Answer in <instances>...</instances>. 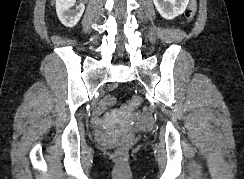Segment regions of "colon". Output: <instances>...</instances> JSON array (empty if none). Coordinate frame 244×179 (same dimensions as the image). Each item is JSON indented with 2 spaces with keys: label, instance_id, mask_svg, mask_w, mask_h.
<instances>
[{
  "label": "colon",
  "instance_id": "5ec220e1",
  "mask_svg": "<svg viewBox=\"0 0 244 179\" xmlns=\"http://www.w3.org/2000/svg\"><path fill=\"white\" fill-rule=\"evenodd\" d=\"M197 1V0H196ZM197 11V3L192 1L187 10L185 11V18L187 20H191ZM101 101H104V104L107 106L115 104V96H101ZM143 95H136L133 98V101H126V104H122L121 108L123 112H130L131 109H140V106H143L144 103ZM128 155V148L127 147H117L116 148V156L117 158H125Z\"/></svg>",
  "mask_w": 244,
  "mask_h": 179
}]
</instances>
